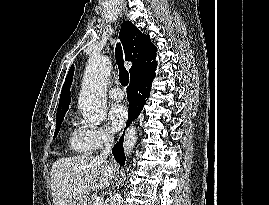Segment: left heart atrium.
<instances>
[{
    "mask_svg": "<svg viewBox=\"0 0 269 205\" xmlns=\"http://www.w3.org/2000/svg\"><path fill=\"white\" fill-rule=\"evenodd\" d=\"M109 124L112 131H118L123 127L127 120V109L121 103L113 104L109 109Z\"/></svg>",
    "mask_w": 269,
    "mask_h": 205,
    "instance_id": "left-heart-atrium-1",
    "label": "left heart atrium"
}]
</instances>
